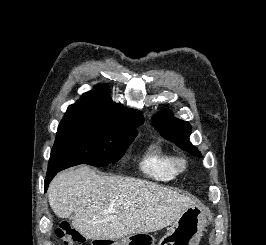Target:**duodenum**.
<instances>
[{"label": "duodenum", "instance_id": "410a0bca", "mask_svg": "<svg viewBox=\"0 0 266 245\" xmlns=\"http://www.w3.org/2000/svg\"><path fill=\"white\" fill-rule=\"evenodd\" d=\"M115 242V237H93V245H110Z\"/></svg>", "mask_w": 266, "mask_h": 245}]
</instances>
